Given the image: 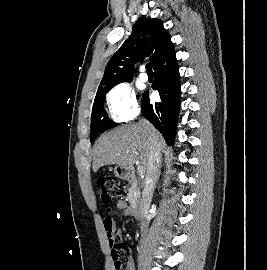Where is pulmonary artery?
<instances>
[{
  "instance_id": "1",
  "label": "pulmonary artery",
  "mask_w": 267,
  "mask_h": 270,
  "mask_svg": "<svg viewBox=\"0 0 267 270\" xmlns=\"http://www.w3.org/2000/svg\"><path fill=\"white\" fill-rule=\"evenodd\" d=\"M140 79H141L143 82L148 81V75L145 73L144 67L141 68Z\"/></svg>"
}]
</instances>
